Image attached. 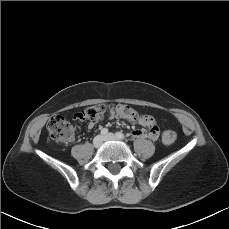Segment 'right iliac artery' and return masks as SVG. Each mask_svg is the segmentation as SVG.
Masks as SVG:
<instances>
[{
	"label": "right iliac artery",
	"instance_id": "obj_1",
	"mask_svg": "<svg viewBox=\"0 0 229 229\" xmlns=\"http://www.w3.org/2000/svg\"><path fill=\"white\" fill-rule=\"evenodd\" d=\"M101 134H102V135H107V134H108V129H107V128H103V129L101 130Z\"/></svg>",
	"mask_w": 229,
	"mask_h": 229
}]
</instances>
